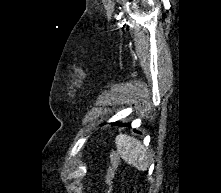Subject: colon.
Listing matches in <instances>:
<instances>
[{
  "label": "colon",
  "instance_id": "5ec220e1",
  "mask_svg": "<svg viewBox=\"0 0 221 193\" xmlns=\"http://www.w3.org/2000/svg\"><path fill=\"white\" fill-rule=\"evenodd\" d=\"M110 163L106 172L105 180L107 184V193H112L114 186V179L116 175V171L120 164V159L117 153L113 150L109 153Z\"/></svg>",
  "mask_w": 221,
  "mask_h": 193
}]
</instances>
